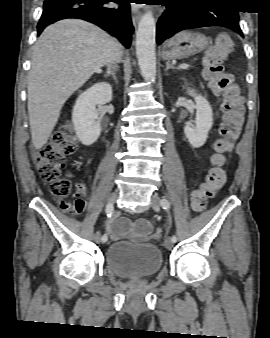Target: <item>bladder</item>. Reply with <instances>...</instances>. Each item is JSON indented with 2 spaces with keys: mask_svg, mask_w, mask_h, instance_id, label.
<instances>
[{
  "mask_svg": "<svg viewBox=\"0 0 270 338\" xmlns=\"http://www.w3.org/2000/svg\"><path fill=\"white\" fill-rule=\"evenodd\" d=\"M105 264L120 278H148L161 269L163 255L151 244L114 242L105 249Z\"/></svg>",
  "mask_w": 270,
  "mask_h": 338,
  "instance_id": "obj_1",
  "label": "bladder"
}]
</instances>
